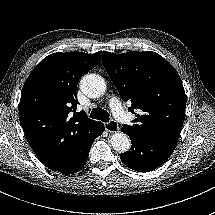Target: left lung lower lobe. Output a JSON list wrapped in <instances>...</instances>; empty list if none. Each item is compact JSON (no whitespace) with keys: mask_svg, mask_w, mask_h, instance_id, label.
<instances>
[{"mask_svg":"<svg viewBox=\"0 0 215 215\" xmlns=\"http://www.w3.org/2000/svg\"><path fill=\"white\" fill-rule=\"evenodd\" d=\"M129 137L132 147L121 154L120 158L127 167L138 172L152 171L161 166L178 143L177 139H146L132 135Z\"/></svg>","mask_w":215,"mask_h":215,"instance_id":"1","label":"left lung lower lobe"}]
</instances>
